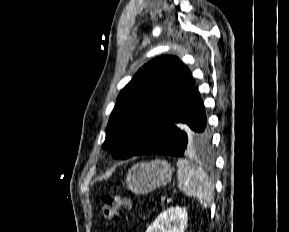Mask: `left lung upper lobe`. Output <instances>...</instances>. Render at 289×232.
<instances>
[{"mask_svg":"<svg viewBox=\"0 0 289 232\" xmlns=\"http://www.w3.org/2000/svg\"><path fill=\"white\" fill-rule=\"evenodd\" d=\"M194 85L177 57L161 56L145 64L117 98L104 148L115 159L131 157L170 121Z\"/></svg>","mask_w":289,"mask_h":232,"instance_id":"obj_1","label":"left lung upper lobe"}]
</instances>
